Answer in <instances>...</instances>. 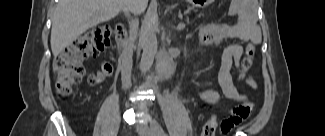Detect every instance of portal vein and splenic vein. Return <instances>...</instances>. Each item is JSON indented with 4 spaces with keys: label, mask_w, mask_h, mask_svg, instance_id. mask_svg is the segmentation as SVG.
I'll return each mask as SVG.
<instances>
[{
    "label": "portal vein and splenic vein",
    "mask_w": 325,
    "mask_h": 136,
    "mask_svg": "<svg viewBox=\"0 0 325 136\" xmlns=\"http://www.w3.org/2000/svg\"><path fill=\"white\" fill-rule=\"evenodd\" d=\"M179 28H184L185 27V25L183 24V23H181V24H179V26H178Z\"/></svg>",
    "instance_id": "18ae733b"
}]
</instances>
